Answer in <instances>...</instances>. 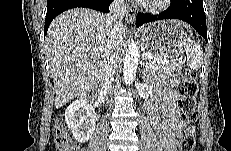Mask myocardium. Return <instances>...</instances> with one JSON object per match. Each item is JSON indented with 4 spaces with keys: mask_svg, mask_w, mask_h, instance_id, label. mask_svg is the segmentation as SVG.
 <instances>
[{
    "mask_svg": "<svg viewBox=\"0 0 231 151\" xmlns=\"http://www.w3.org/2000/svg\"><path fill=\"white\" fill-rule=\"evenodd\" d=\"M170 0H153L148 1L146 4V9L150 12H159L166 8Z\"/></svg>",
    "mask_w": 231,
    "mask_h": 151,
    "instance_id": "f54148a6",
    "label": "myocardium"
}]
</instances>
